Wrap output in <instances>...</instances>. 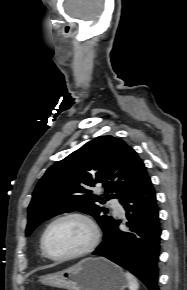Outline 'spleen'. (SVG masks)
Here are the masks:
<instances>
[{
  "mask_svg": "<svg viewBox=\"0 0 187 290\" xmlns=\"http://www.w3.org/2000/svg\"><path fill=\"white\" fill-rule=\"evenodd\" d=\"M125 275L128 279L129 290H138L139 283H138L137 279L129 272H126Z\"/></svg>",
  "mask_w": 187,
  "mask_h": 290,
  "instance_id": "3e777b00",
  "label": "spleen"
}]
</instances>
